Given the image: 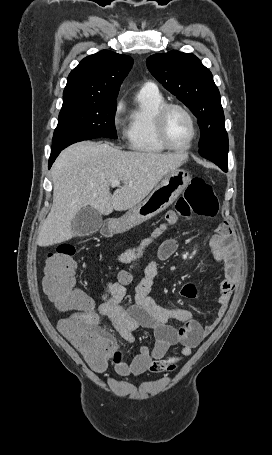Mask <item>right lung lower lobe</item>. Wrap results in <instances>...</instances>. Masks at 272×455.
<instances>
[{"instance_id": "1", "label": "right lung lower lobe", "mask_w": 272, "mask_h": 455, "mask_svg": "<svg viewBox=\"0 0 272 455\" xmlns=\"http://www.w3.org/2000/svg\"><path fill=\"white\" fill-rule=\"evenodd\" d=\"M62 149H58V150H53L51 151V155H50V159H49V168L51 167L52 163L54 162V160L56 159V157L59 155V153L61 152Z\"/></svg>"}]
</instances>
